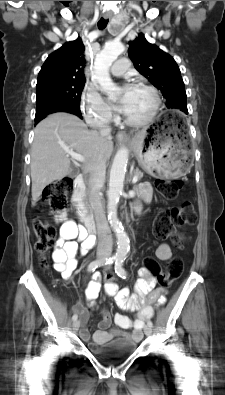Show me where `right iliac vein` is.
I'll use <instances>...</instances> for the list:
<instances>
[{
	"label": "right iliac vein",
	"mask_w": 225,
	"mask_h": 395,
	"mask_svg": "<svg viewBox=\"0 0 225 395\" xmlns=\"http://www.w3.org/2000/svg\"><path fill=\"white\" fill-rule=\"evenodd\" d=\"M100 260H101V258H100ZM79 327H80V321L79 320H75L73 322V330L76 332L79 329Z\"/></svg>",
	"instance_id": "right-iliac-vein-1"
}]
</instances>
